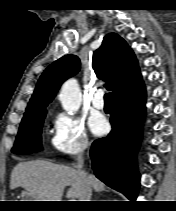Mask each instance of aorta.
Wrapping results in <instances>:
<instances>
[{
  "label": "aorta",
  "instance_id": "obj_1",
  "mask_svg": "<svg viewBox=\"0 0 176 211\" xmlns=\"http://www.w3.org/2000/svg\"><path fill=\"white\" fill-rule=\"evenodd\" d=\"M59 99L64 110L75 113L81 104V92L75 79L66 81L60 91Z\"/></svg>",
  "mask_w": 176,
  "mask_h": 211
}]
</instances>
